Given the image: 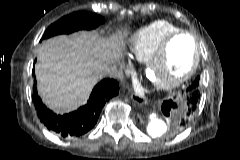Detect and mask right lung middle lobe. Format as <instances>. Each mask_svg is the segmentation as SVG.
<instances>
[{
    "instance_id": "dd1d6c3e",
    "label": "right lung middle lobe",
    "mask_w": 240,
    "mask_h": 160,
    "mask_svg": "<svg viewBox=\"0 0 240 160\" xmlns=\"http://www.w3.org/2000/svg\"><path fill=\"white\" fill-rule=\"evenodd\" d=\"M104 21L103 17L89 12H75L64 16L48 27L43 39L62 33H72L81 29H94Z\"/></svg>"
}]
</instances>
